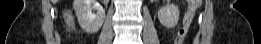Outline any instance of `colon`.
Returning a JSON list of instances; mask_svg holds the SVG:
<instances>
[{"label": "colon", "mask_w": 261, "mask_h": 44, "mask_svg": "<svg viewBox=\"0 0 261 44\" xmlns=\"http://www.w3.org/2000/svg\"><path fill=\"white\" fill-rule=\"evenodd\" d=\"M187 2L189 7L185 13L183 25L178 32L175 44H182L184 42V39L190 29L194 14L201 4V0H188Z\"/></svg>", "instance_id": "colon-1"}]
</instances>
